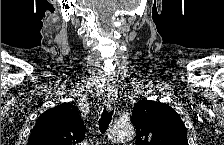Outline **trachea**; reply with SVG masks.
I'll return each mask as SVG.
<instances>
[{
    "label": "trachea",
    "mask_w": 224,
    "mask_h": 145,
    "mask_svg": "<svg viewBox=\"0 0 224 145\" xmlns=\"http://www.w3.org/2000/svg\"><path fill=\"white\" fill-rule=\"evenodd\" d=\"M113 115V110L108 111L104 107L103 113L101 115L100 121H99V129L101 132H105L111 122Z\"/></svg>",
    "instance_id": "1"
}]
</instances>
